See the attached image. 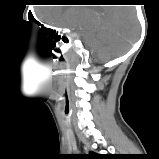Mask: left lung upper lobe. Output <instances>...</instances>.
<instances>
[{"mask_svg": "<svg viewBox=\"0 0 159 159\" xmlns=\"http://www.w3.org/2000/svg\"><path fill=\"white\" fill-rule=\"evenodd\" d=\"M87 159H109V156H105V155H98L95 153H90L88 157H86Z\"/></svg>", "mask_w": 159, "mask_h": 159, "instance_id": "obj_1", "label": "left lung upper lobe"}]
</instances>
